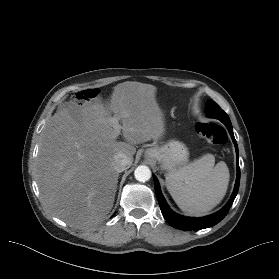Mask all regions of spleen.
<instances>
[{
    "label": "spleen",
    "instance_id": "1",
    "mask_svg": "<svg viewBox=\"0 0 279 279\" xmlns=\"http://www.w3.org/2000/svg\"><path fill=\"white\" fill-rule=\"evenodd\" d=\"M225 162L215 165V157L206 154L166 175V186L178 207L189 215L202 216L224 198L229 184Z\"/></svg>",
    "mask_w": 279,
    "mask_h": 279
}]
</instances>
